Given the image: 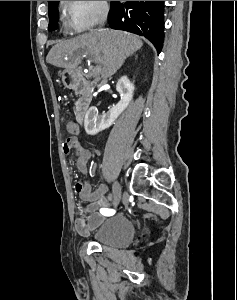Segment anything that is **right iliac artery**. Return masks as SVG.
I'll list each match as a JSON object with an SVG mask.
<instances>
[{"label": "right iliac artery", "mask_w": 237, "mask_h": 300, "mask_svg": "<svg viewBox=\"0 0 237 300\" xmlns=\"http://www.w3.org/2000/svg\"><path fill=\"white\" fill-rule=\"evenodd\" d=\"M115 212V210H113V209H108V208H102V209H100V212L103 214V215H105V214H107L108 212Z\"/></svg>", "instance_id": "right-iliac-artery-1"}]
</instances>
